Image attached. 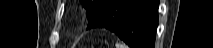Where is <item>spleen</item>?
<instances>
[{"instance_id":"spleen-1","label":"spleen","mask_w":213,"mask_h":48,"mask_svg":"<svg viewBox=\"0 0 213 48\" xmlns=\"http://www.w3.org/2000/svg\"><path fill=\"white\" fill-rule=\"evenodd\" d=\"M115 48H128L124 43L116 42Z\"/></svg>"}]
</instances>
